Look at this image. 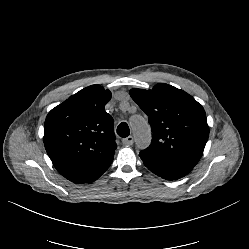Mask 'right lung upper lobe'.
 Returning a JSON list of instances; mask_svg holds the SVG:
<instances>
[{
	"mask_svg": "<svg viewBox=\"0 0 249 249\" xmlns=\"http://www.w3.org/2000/svg\"><path fill=\"white\" fill-rule=\"evenodd\" d=\"M111 92L91 85L53 108L44 124V145L57 171L68 180L89 182L114 157V122L104 107Z\"/></svg>",
	"mask_w": 249,
	"mask_h": 249,
	"instance_id": "right-lung-upper-lobe-1",
	"label": "right lung upper lobe"
}]
</instances>
